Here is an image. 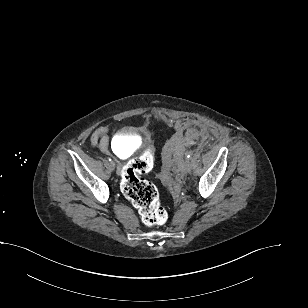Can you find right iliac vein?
<instances>
[{
  "label": "right iliac vein",
  "instance_id": "right-iliac-vein-1",
  "mask_svg": "<svg viewBox=\"0 0 308 308\" xmlns=\"http://www.w3.org/2000/svg\"><path fill=\"white\" fill-rule=\"evenodd\" d=\"M115 166H116V165H115V162H114V161H111V162H110V167H111L112 169H115Z\"/></svg>",
  "mask_w": 308,
  "mask_h": 308
}]
</instances>
